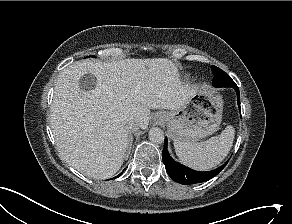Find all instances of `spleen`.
Wrapping results in <instances>:
<instances>
[{
  "label": "spleen",
  "mask_w": 292,
  "mask_h": 224,
  "mask_svg": "<svg viewBox=\"0 0 292 224\" xmlns=\"http://www.w3.org/2000/svg\"><path fill=\"white\" fill-rule=\"evenodd\" d=\"M235 136V129L228 125L220 135L203 142L174 141L177 157L185 165L200 171H207L228 155Z\"/></svg>",
  "instance_id": "1"
}]
</instances>
